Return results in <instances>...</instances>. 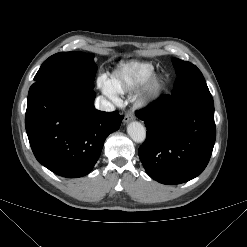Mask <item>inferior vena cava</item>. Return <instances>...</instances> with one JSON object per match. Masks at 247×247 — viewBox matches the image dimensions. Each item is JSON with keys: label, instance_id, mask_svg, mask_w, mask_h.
Masks as SVG:
<instances>
[{"label": "inferior vena cava", "instance_id": "obj_1", "mask_svg": "<svg viewBox=\"0 0 247 247\" xmlns=\"http://www.w3.org/2000/svg\"><path fill=\"white\" fill-rule=\"evenodd\" d=\"M95 107L98 110L106 112H111L115 109L114 105L103 96L97 97V99L95 100Z\"/></svg>", "mask_w": 247, "mask_h": 247}]
</instances>
